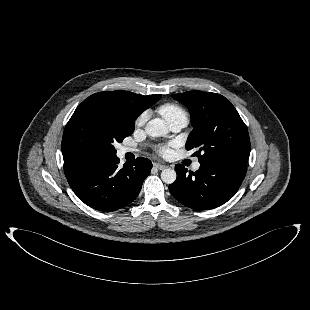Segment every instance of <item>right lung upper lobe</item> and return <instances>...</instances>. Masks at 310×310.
I'll return each instance as SVG.
<instances>
[{
	"label": "right lung upper lobe",
	"instance_id": "1",
	"mask_svg": "<svg viewBox=\"0 0 310 310\" xmlns=\"http://www.w3.org/2000/svg\"><path fill=\"white\" fill-rule=\"evenodd\" d=\"M160 98L161 95L142 96L121 90L104 91L89 96L77 108L111 110L123 120L135 124L136 118ZM63 159L64 161L72 160L68 156H63Z\"/></svg>",
	"mask_w": 310,
	"mask_h": 310
}]
</instances>
